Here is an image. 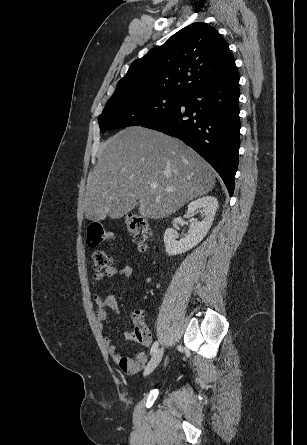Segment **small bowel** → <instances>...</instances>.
<instances>
[{"label": "small bowel", "mask_w": 307, "mask_h": 445, "mask_svg": "<svg viewBox=\"0 0 307 445\" xmlns=\"http://www.w3.org/2000/svg\"><path fill=\"white\" fill-rule=\"evenodd\" d=\"M121 277L128 279L132 276V268L128 265L115 266L111 265L104 272H95L92 274V282L97 285L105 277ZM94 302L97 308V318L104 321L108 317V311L116 313L118 311L117 300L113 296L102 297L99 293L94 294ZM125 337L132 340V332H125ZM104 342L107 346L108 352L114 362L118 364L120 369L128 374H135L139 372L147 360V355L144 352H139L135 357L130 358L118 352L117 346L112 343L111 339L106 337Z\"/></svg>", "instance_id": "c3829d8e"}]
</instances>
